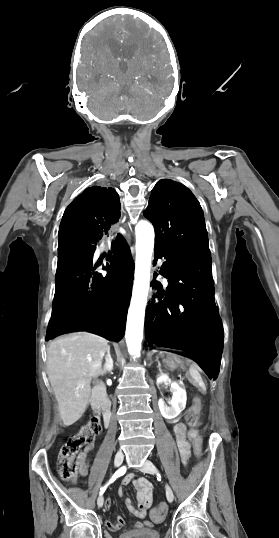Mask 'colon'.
I'll use <instances>...</instances> for the list:
<instances>
[{
	"label": "colon",
	"instance_id": "5ec220e1",
	"mask_svg": "<svg viewBox=\"0 0 279 538\" xmlns=\"http://www.w3.org/2000/svg\"><path fill=\"white\" fill-rule=\"evenodd\" d=\"M201 404L195 400L189 409L186 420L190 426L189 438L193 443L198 457L203 454V439L196 428L199 425ZM103 426L97 416H92L89 421L73 436H71L62 446L59 452V472L66 480H75L82 475L80 466L75 463V459L83 446L90 444L94 438L101 433ZM165 503L157 504L152 511L154 521L162 520L167 514Z\"/></svg>",
	"mask_w": 279,
	"mask_h": 538
}]
</instances>
